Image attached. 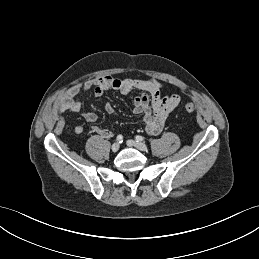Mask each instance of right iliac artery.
<instances>
[{
  "label": "right iliac artery",
  "mask_w": 259,
  "mask_h": 259,
  "mask_svg": "<svg viewBox=\"0 0 259 259\" xmlns=\"http://www.w3.org/2000/svg\"><path fill=\"white\" fill-rule=\"evenodd\" d=\"M117 141H118L119 143H122V142H123V136H122V135H118V136H117Z\"/></svg>",
  "instance_id": "82829eb1"
}]
</instances>
